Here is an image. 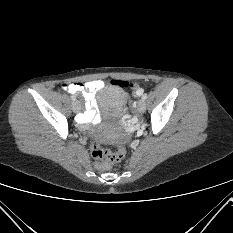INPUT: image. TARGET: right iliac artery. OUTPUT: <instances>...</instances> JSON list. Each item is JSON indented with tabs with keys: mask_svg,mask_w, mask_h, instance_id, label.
<instances>
[{
	"mask_svg": "<svg viewBox=\"0 0 233 233\" xmlns=\"http://www.w3.org/2000/svg\"><path fill=\"white\" fill-rule=\"evenodd\" d=\"M71 99H72L73 101H75V100H76V97H75L74 95H71Z\"/></svg>",
	"mask_w": 233,
	"mask_h": 233,
	"instance_id": "82829eb1",
	"label": "right iliac artery"
}]
</instances>
